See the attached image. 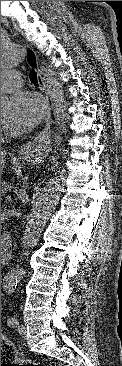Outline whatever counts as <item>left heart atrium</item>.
Masks as SVG:
<instances>
[{
	"mask_svg": "<svg viewBox=\"0 0 122 366\" xmlns=\"http://www.w3.org/2000/svg\"><path fill=\"white\" fill-rule=\"evenodd\" d=\"M44 110V103L36 94L16 93L10 99V107L4 125L11 132L30 130L42 120Z\"/></svg>",
	"mask_w": 122,
	"mask_h": 366,
	"instance_id": "39dd6f15",
	"label": "left heart atrium"
}]
</instances>
